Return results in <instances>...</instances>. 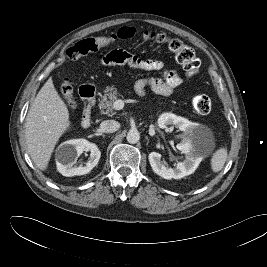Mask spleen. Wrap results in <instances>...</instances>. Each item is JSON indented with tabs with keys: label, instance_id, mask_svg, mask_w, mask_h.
<instances>
[{
	"label": "spleen",
	"instance_id": "3e777b00",
	"mask_svg": "<svg viewBox=\"0 0 267 267\" xmlns=\"http://www.w3.org/2000/svg\"><path fill=\"white\" fill-rule=\"evenodd\" d=\"M227 156L228 152L227 149L224 147L217 149L213 153L210 159L211 169L213 172L217 173L224 167V164L227 160Z\"/></svg>",
	"mask_w": 267,
	"mask_h": 267
}]
</instances>
